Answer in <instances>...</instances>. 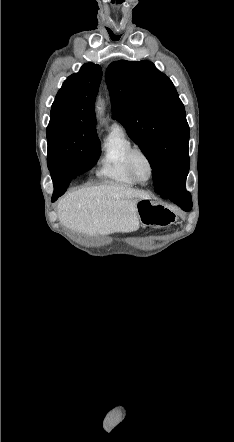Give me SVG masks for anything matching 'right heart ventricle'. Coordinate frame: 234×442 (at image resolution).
Wrapping results in <instances>:
<instances>
[{
    "label": "right heart ventricle",
    "instance_id": "right-heart-ventricle-1",
    "mask_svg": "<svg viewBox=\"0 0 234 442\" xmlns=\"http://www.w3.org/2000/svg\"><path fill=\"white\" fill-rule=\"evenodd\" d=\"M133 147L125 130L114 126L102 145L97 176L115 184L136 185L126 166L127 154Z\"/></svg>",
    "mask_w": 234,
    "mask_h": 442
}]
</instances>
